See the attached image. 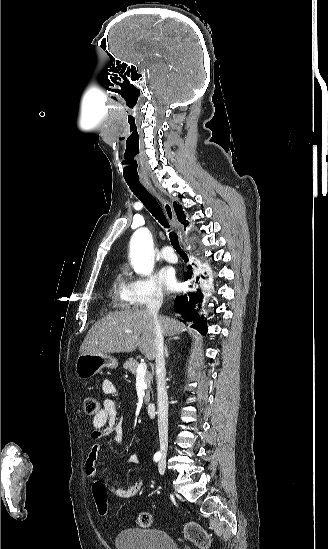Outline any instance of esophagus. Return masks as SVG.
Wrapping results in <instances>:
<instances>
[{"label": "esophagus", "mask_w": 328, "mask_h": 549, "mask_svg": "<svg viewBox=\"0 0 328 549\" xmlns=\"http://www.w3.org/2000/svg\"><path fill=\"white\" fill-rule=\"evenodd\" d=\"M142 183L147 189H149L158 198V200L161 202V205L167 216V219L171 222L173 226L177 227V220L175 217L172 204L168 200L164 199L158 192H156L150 180H142Z\"/></svg>", "instance_id": "1"}]
</instances>
